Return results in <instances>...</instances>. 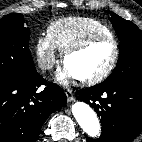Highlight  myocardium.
<instances>
[{
	"mask_svg": "<svg viewBox=\"0 0 142 142\" xmlns=\"http://www.w3.org/2000/svg\"><path fill=\"white\" fill-rule=\"evenodd\" d=\"M100 40H109L113 43L114 46L113 57L110 63L108 64V66L100 73L86 78H76L83 85L91 86L98 84L103 80H105L113 72L120 56V46L118 40L112 34L110 35L93 34L83 38L82 40L76 42L75 44L71 45L70 47H68L66 50L63 51L62 62L65 65V61L70 55L80 52L85 48H87L92 43Z\"/></svg>",
	"mask_w": 142,
	"mask_h": 142,
	"instance_id": "f54148a6",
	"label": "myocardium"
}]
</instances>
